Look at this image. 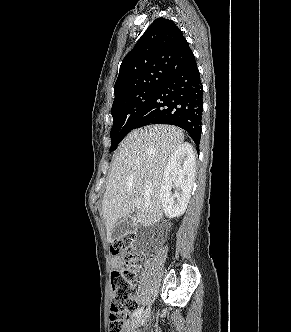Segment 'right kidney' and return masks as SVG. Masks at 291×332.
<instances>
[{
    "label": "right kidney",
    "mask_w": 291,
    "mask_h": 332,
    "mask_svg": "<svg viewBox=\"0 0 291 332\" xmlns=\"http://www.w3.org/2000/svg\"><path fill=\"white\" fill-rule=\"evenodd\" d=\"M195 154L190 144L179 145L164 171L160 200L168 218L182 215L188 205L195 177ZM175 187L176 191L171 192Z\"/></svg>",
    "instance_id": "1"
}]
</instances>
